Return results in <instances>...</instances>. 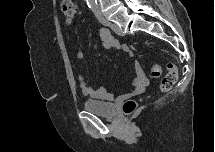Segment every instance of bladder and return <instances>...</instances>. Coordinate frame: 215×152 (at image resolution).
<instances>
[{"instance_id": "31cf9c89", "label": "bladder", "mask_w": 215, "mask_h": 152, "mask_svg": "<svg viewBox=\"0 0 215 152\" xmlns=\"http://www.w3.org/2000/svg\"><path fill=\"white\" fill-rule=\"evenodd\" d=\"M83 107L86 111L104 117H114L117 113V108L114 103L103 102L87 99L83 102Z\"/></svg>"}]
</instances>
